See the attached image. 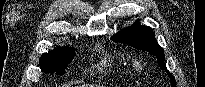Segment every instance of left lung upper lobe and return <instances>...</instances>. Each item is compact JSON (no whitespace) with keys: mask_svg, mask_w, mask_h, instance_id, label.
Returning a JSON list of instances; mask_svg holds the SVG:
<instances>
[{"mask_svg":"<svg viewBox=\"0 0 205 87\" xmlns=\"http://www.w3.org/2000/svg\"><path fill=\"white\" fill-rule=\"evenodd\" d=\"M115 42L130 45L138 50L147 51L157 57L158 64L161 68L166 69L164 63L165 54L161 46L154 38V32L150 27L133 25L121 30L111 38ZM168 73L170 77L171 86L176 87V81L171 73Z\"/></svg>","mask_w":205,"mask_h":87,"instance_id":"1","label":"left lung upper lobe"}]
</instances>
